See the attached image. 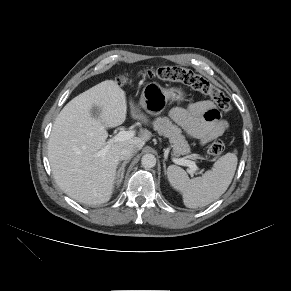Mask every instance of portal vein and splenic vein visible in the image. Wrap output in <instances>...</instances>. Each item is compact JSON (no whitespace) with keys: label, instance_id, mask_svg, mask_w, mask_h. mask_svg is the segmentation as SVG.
I'll use <instances>...</instances> for the list:
<instances>
[{"label":"portal vein and splenic vein","instance_id":"obj_1","mask_svg":"<svg viewBox=\"0 0 291 291\" xmlns=\"http://www.w3.org/2000/svg\"><path fill=\"white\" fill-rule=\"evenodd\" d=\"M135 135V132L132 130H122L118 134H116L114 137L110 138L107 142V145L100 151L101 155H105V153L109 150L110 146L113 145L114 143L121 142L124 140H128L133 138ZM173 162L182 165V166H187L189 167L190 171L194 173L198 167L196 166L195 162L186 160L184 158H173Z\"/></svg>","mask_w":291,"mask_h":291}]
</instances>
